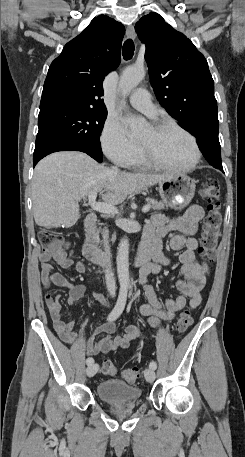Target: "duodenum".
Instances as JSON below:
<instances>
[{"label":"duodenum","instance_id":"410a0bca","mask_svg":"<svg viewBox=\"0 0 245 457\" xmlns=\"http://www.w3.org/2000/svg\"><path fill=\"white\" fill-rule=\"evenodd\" d=\"M97 216L95 214H89L84 221V228L87 235L85 243L84 254L85 257L92 263L100 266H106L108 264V256L105 252L97 248L92 241L90 236L95 228ZM153 257L151 249L141 247L134 258L135 266H143L147 264Z\"/></svg>","mask_w":245,"mask_h":457}]
</instances>
